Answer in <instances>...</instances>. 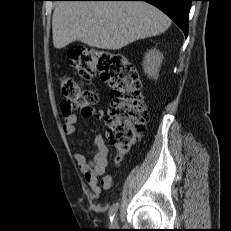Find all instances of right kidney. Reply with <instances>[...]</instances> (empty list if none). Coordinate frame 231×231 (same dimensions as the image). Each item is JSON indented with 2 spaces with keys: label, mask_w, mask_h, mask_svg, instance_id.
<instances>
[{
  "label": "right kidney",
  "mask_w": 231,
  "mask_h": 231,
  "mask_svg": "<svg viewBox=\"0 0 231 231\" xmlns=\"http://www.w3.org/2000/svg\"><path fill=\"white\" fill-rule=\"evenodd\" d=\"M162 60L163 55L156 49H151L145 54L143 68L149 78H158Z\"/></svg>",
  "instance_id": "right-kidney-1"
}]
</instances>
